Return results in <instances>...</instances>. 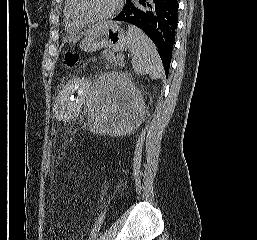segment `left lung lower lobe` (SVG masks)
<instances>
[{"instance_id": "left-lung-lower-lobe-1", "label": "left lung lower lobe", "mask_w": 257, "mask_h": 240, "mask_svg": "<svg viewBox=\"0 0 257 240\" xmlns=\"http://www.w3.org/2000/svg\"><path fill=\"white\" fill-rule=\"evenodd\" d=\"M178 7L177 0H126L123 11L113 19L134 25L150 37L158 48L166 77L172 58Z\"/></svg>"}]
</instances>
